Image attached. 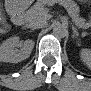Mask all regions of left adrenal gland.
Returning a JSON list of instances; mask_svg holds the SVG:
<instances>
[{"label": "left adrenal gland", "instance_id": "1", "mask_svg": "<svg viewBox=\"0 0 91 91\" xmlns=\"http://www.w3.org/2000/svg\"><path fill=\"white\" fill-rule=\"evenodd\" d=\"M72 30H73L74 36L78 37L79 36L78 31L74 26H72ZM78 42H79V38H78ZM78 45H79V43H78Z\"/></svg>", "mask_w": 91, "mask_h": 91}]
</instances>
